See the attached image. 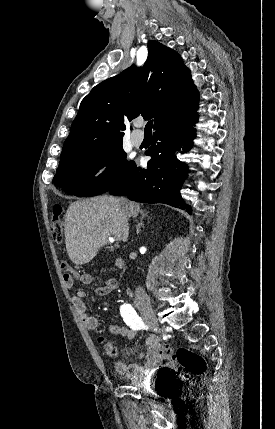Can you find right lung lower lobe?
Instances as JSON below:
<instances>
[{"label": "right lung lower lobe", "mask_w": 275, "mask_h": 429, "mask_svg": "<svg viewBox=\"0 0 275 429\" xmlns=\"http://www.w3.org/2000/svg\"><path fill=\"white\" fill-rule=\"evenodd\" d=\"M197 120L196 113L158 128L154 132L152 146L146 153L152 157L147 169L134 165L128 176L108 192L127 196L137 202L165 203L191 212L190 206L184 203L180 195L188 166L178 160L176 152L185 153L191 149L196 135L193 126Z\"/></svg>", "instance_id": "1"}]
</instances>
